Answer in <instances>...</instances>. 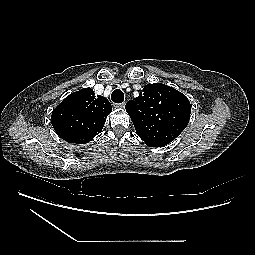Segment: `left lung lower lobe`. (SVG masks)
I'll return each mask as SVG.
<instances>
[{
  "label": "left lung lower lobe",
  "mask_w": 255,
  "mask_h": 255,
  "mask_svg": "<svg viewBox=\"0 0 255 255\" xmlns=\"http://www.w3.org/2000/svg\"><path fill=\"white\" fill-rule=\"evenodd\" d=\"M165 145H167V144H159V145L153 146V147H160V146H165Z\"/></svg>",
  "instance_id": "left-lung-lower-lobe-1"
}]
</instances>
